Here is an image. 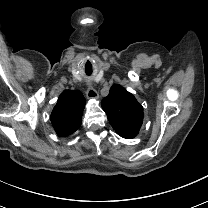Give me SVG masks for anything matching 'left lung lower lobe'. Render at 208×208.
<instances>
[{
  "label": "left lung lower lobe",
  "instance_id": "1",
  "mask_svg": "<svg viewBox=\"0 0 208 208\" xmlns=\"http://www.w3.org/2000/svg\"><path fill=\"white\" fill-rule=\"evenodd\" d=\"M121 137L131 139L134 138L136 135L134 134H123V133H118Z\"/></svg>",
  "mask_w": 208,
  "mask_h": 208
}]
</instances>
